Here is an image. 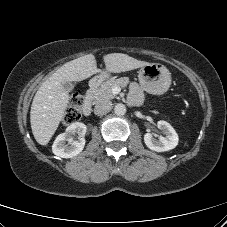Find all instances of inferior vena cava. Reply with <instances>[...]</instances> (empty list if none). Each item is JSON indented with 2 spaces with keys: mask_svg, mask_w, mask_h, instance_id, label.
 Masks as SVG:
<instances>
[{
  "mask_svg": "<svg viewBox=\"0 0 227 227\" xmlns=\"http://www.w3.org/2000/svg\"><path fill=\"white\" fill-rule=\"evenodd\" d=\"M112 109V102L109 100H103L95 105L94 113L97 116H102Z\"/></svg>",
  "mask_w": 227,
  "mask_h": 227,
  "instance_id": "602c4592",
  "label": "inferior vena cava"
}]
</instances>
